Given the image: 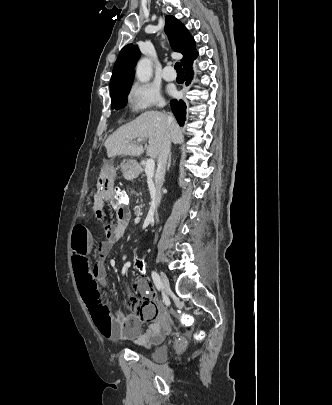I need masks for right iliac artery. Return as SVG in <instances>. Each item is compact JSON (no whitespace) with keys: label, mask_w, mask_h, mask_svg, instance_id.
Segmentation results:
<instances>
[{"label":"right iliac artery","mask_w":332,"mask_h":405,"mask_svg":"<svg viewBox=\"0 0 332 405\" xmlns=\"http://www.w3.org/2000/svg\"><path fill=\"white\" fill-rule=\"evenodd\" d=\"M151 275L156 288L160 291L162 288V283L159 275L154 271L151 273Z\"/></svg>","instance_id":"82829eb1"}]
</instances>
